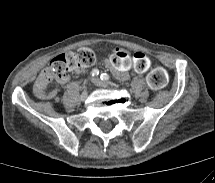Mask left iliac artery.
Here are the masks:
<instances>
[{
    "mask_svg": "<svg viewBox=\"0 0 215 183\" xmlns=\"http://www.w3.org/2000/svg\"><path fill=\"white\" fill-rule=\"evenodd\" d=\"M101 80L107 81L110 79V76L107 73H102L100 75Z\"/></svg>",
    "mask_w": 215,
    "mask_h": 183,
    "instance_id": "44dca946",
    "label": "left iliac artery"
}]
</instances>
